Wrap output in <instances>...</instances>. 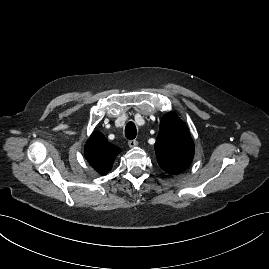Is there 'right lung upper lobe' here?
Segmentation results:
<instances>
[{
  "instance_id": "obj_1",
  "label": "right lung upper lobe",
  "mask_w": 269,
  "mask_h": 269,
  "mask_svg": "<svg viewBox=\"0 0 269 269\" xmlns=\"http://www.w3.org/2000/svg\"><path fill=\"white\" fill-rule=\"evenodd\" d=\"M120 151V148L108 142L102 133L94 132L85 145L84 154L99 174L106 175Z\"/></svg>"
}]
</instances>
